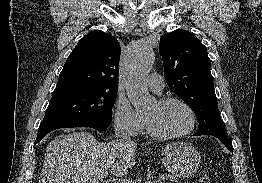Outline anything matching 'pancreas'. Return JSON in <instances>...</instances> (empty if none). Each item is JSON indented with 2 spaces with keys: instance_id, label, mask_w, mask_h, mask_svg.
<instances>
[{
  "instance_id": "pancreas-1",
  "label": "pancreas",
  "mask_w": 262,
  "mask_h": 183,
  "mask_svg": "<svg viewBox=\"0 0 262 183\" xmlns=\"http://www.w3.org/2000/svg\"><path fill=\"white\" fill-rule=\"evenodd\" d=\"M151 178L153 177L147 176L146 183H167V181H171L175 183L177 182V178L174 176H170V175H161L153 182H150Z\"/></svg>"
}]
</instances>
